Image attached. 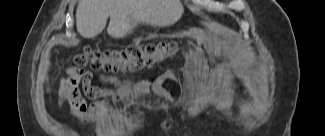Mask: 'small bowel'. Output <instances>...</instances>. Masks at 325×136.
I'll use <instances>...</instances> for the list:
<instances>
[{
	"instance_id": "c3829d8e",
	"label": "small bowel",
	"mask_w": 325,
	"mask_h": 136,
	"mask_svg": "<svg viewBox=\"0 0 325 136\" xmlns=\"http://www.w3.org/2000/svg\"><path fill=\"white\" fill-rule=\"evenodd\" d=\"M67 73L69 74V78L65 80V83L62 80L59 82V89L65 91H59L58 97L64 98V101L69 104L71 113L75 118L80 121H85L106 103H97L89 108L79 93V86H82L84 93L89 97H95L102 92L91 84V72L75 67H69ZM101 79L102 81L110 83L116 87L119 95L124 97V92L118 78L111 75H101ZM168 80L182 82V77L177 71L168 70L153 81L144 80L138 90L144 92L147 87L151 86L154 92L165 102L175 104L174 97L163 87V83ZM242 93L245 96L248 95L245 87H242Z\"/></svg>"
}]
</instances>
